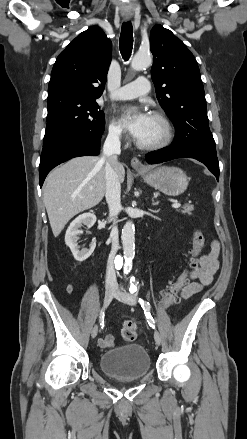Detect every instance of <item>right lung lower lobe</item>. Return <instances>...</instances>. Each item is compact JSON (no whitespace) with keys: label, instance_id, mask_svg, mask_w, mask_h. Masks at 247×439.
I'll list each match as a JSON object with an SVG mask.
<instances>
[{"label":"right lung lower lobe","instance_id":"obj_1","mask_svg":"<svg viewBox=\"0 0 247 439\" xmlns=\"http://www.w3.org/2000/svg\"><path fill=\"white\" fill-rule=\"evenodd\" d=\"M102 133L71 137L43 146L39 165L40 187L47 174L57 165L78 156L98 155Z\"/></svg>","mask_w":247,"mask_h":439}]
</instances>
